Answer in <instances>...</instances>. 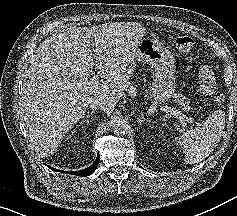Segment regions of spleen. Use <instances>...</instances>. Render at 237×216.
I'll list each match as a JSON object with an SVG mask.
<instances>
[{"label": "spleen", "mask_w": 237, "mask_h": 216, "mask_svg": "<svg viewBox=\"0 0 237 216\" xmlns=\"http://www.w3.org/2000/svg\"><path fill=\"white\" fill-rule=\"evenodd\" d=\"M217 129L210 127L208 121L190 128L187 132L175 137L177 147H183V151L193 160L199 159L209 148L218 142Z\"/></svg>", "instance_id": "spleen-1"}]
</instances>
